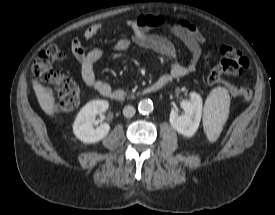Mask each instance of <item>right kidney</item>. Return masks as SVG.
<instances>
[{
	"instance_id": "obj_1",
	"label": "right kidney",
	"mask_w": 275,
	"mask_h": 215,
	"mask_svg": "<svg viewBox=\"0 0 275 215\" xmlns=\"http://www.w3.org/2000/svg\"><path fill=\"white\" fill-rule=\"evenodd\" d=\"M109 103L105 100H94L87 103L78 113L74 124L73 131L75 136L84 143H95L103 139L109 132L110 126L102 123L97 128L93 127L95 117L105 112Z\"/></svg>"
}]
</instances>
